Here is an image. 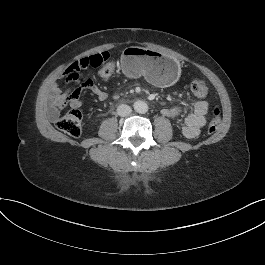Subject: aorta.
<instances>
[{"label":"aorta","instance_id":"obj_1","mask_svg":"<svg viewBox=\"0 0 265 265\" xmlns=\"http://www.w3.org/2000/svg\"><path fill=\"white\" fill-rule=\"evenodd\" d=\"M134 110L137 113L144 114L148 111V105L146 102L143 101H137L134 103Z\"/></svg>","mask_w":265,"mask_h":265}]
</instances>
